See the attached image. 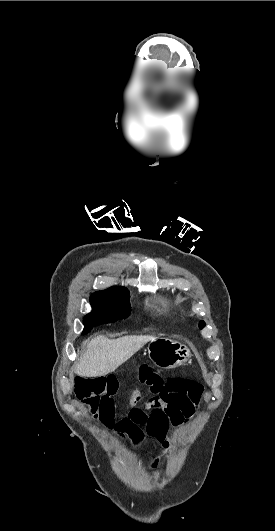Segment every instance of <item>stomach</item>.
I'll return each instance as SVG.
<instances>
[{
	"mask_svg": "<svg viewBox=\"0 0 275 531\" xmlns=\"http://www.w3.org/2000/svg\"><path fill=\"white\" fill-rule=\"evenodd\" d=\"M192 355L182 343L172 341L167 337H156L148 345V350H144V361H152L156 367L161 369H175L180 365H185L190 361Z\"/></svg>",
	"mask_w": 275,
	"mask_h": 531,
	"instance_id": "0dacf381",
	"label": "stomach"
}]
</instances>
